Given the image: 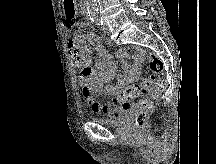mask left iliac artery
<instances>
[{"instance_id": "44dca946", "label": "left iliac artery", "mask_w": 216, "mask_h": 164, "mask_svg": "<svg viewBox=\"0 0 216 164\" xmlns=\"http://www.w3.org/2000/svg\"><path fill=\"white\" fill-rule=\"evenodd\" d=\"M92 21H95L98 25H103V20H102V18H95L94 20H92Z\"/></svg>"}]
</instances>
